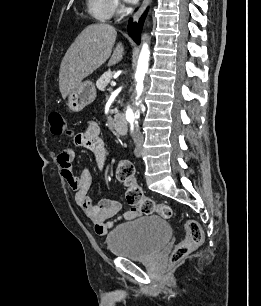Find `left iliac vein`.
I'll use <instances>...</instances> for the list:
<instances>
[{
  "label": "left iliac vein",
  "instance_id": "4c4485c4",
  "mask_svg": "<svg viewBox=\"0 0 261 306\" xmlns=\"http://www.w3.org/2000/svg\"><path fill=\"white\" fill-rule=\"evenodd\" d=\"M142 142H143V140L140 137H137L136 140H135L136 146H135L134 153H135L136 157L141 156Z\"/></svg>",
  "mask_w": 261,
  "mask_h": 306
}]
</instances>
